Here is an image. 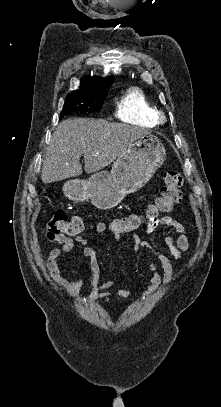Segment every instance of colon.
I'll return each mask as SVG.
<instances>
[{
  "mask_svg": "<svg viewBox=\"0 0 221 407\" xmlns=\"http://www.w3.org/2000/svg\"><path fill=\"white\" fill-rule=\"evenodd\" d=\"M164 183L159 196L142 213H134L115 219L112 222V232L122 234L135 231L149 219H158L161 215L170 212L182 199L183 178L176 171H168L164 175ZM83 229L84 224L80 216L69 217L65 211L59 210L49 220L46 236L49 239L61 235L77 236Z\"/></svg>",
  "mask_w": 221,
  "mask_h": 407,
  "instance_id": "obj_1",
  "label": "colon"
}]
</instances>
